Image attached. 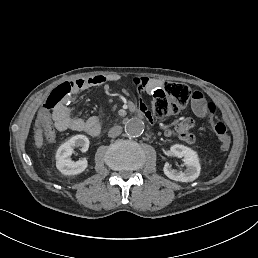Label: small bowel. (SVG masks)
Listing matches in <instances>:
<instances>
[{"instance_id": "obj_1", "label": "small bowel", "mask_w": 258, "mask_h": 258, "mask_svg": "<svg viewBox=\"0 0 258 258\" xmlns=\"http://www.w3.org/2000/svg\"><path fill=\"white\" fill-rule=\"evenodd\" d=\"M120 79L118 74L94 75L87 78H80L74 82L75 91L85 90L92 87H108L109 84L115 83ZM133 83L138 88L139 92L148 90L153 87L154 83L145 77L133 78ZM69 101L58 107L53 112L52 116H44L40 114L39 124L44 139L47 142H53L56 137V131L73 130L78 132H86L91 136H97L100 133L101 125L96 116L88 118L76 117L73 115L69 107ZM207 102L203 94L195 91L192 95L191 108L195 115L204 117L207 114ZM139 109L142 115L149 121H153V115L148 110L146 105L140 100ZM195 126V121L191 117L183 118L176 123L174 128L166 129L164 134L167 138L178 137L186 143H194L195 135L192 132Z\"/></svg>"}]
</instances>
